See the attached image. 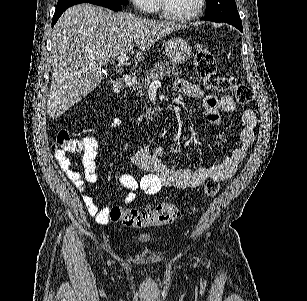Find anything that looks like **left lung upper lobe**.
Here are the masks:
<instances>
[{"mask_svg":"<svg viewBox=\"0 0 307 301\" xmlns=\"http://www.w3.org/2000/svg\"><path fill=\"white\" fill-rule=\"evenodd\" d=\"M206 3L204 20L226 22L233 26L242 24L235 0H206Z\"/></svg>","mask_w":307,"mask_h":301,"instance_id":"obj_1","label":"left lung upper lobe"}]
</instances>
